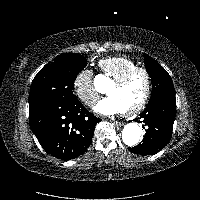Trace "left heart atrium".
Wrapping results in <instances>:
<instances>
[{"label": "left heart atrium", "mask_w": 200, "mask_h": 200, "mask_svg": "<svg viewBox=\"0 0 200 200\" xmlns=\"http://www.w3.org/2000/svg\"><path fill=\"white\" fill-rule=\"evenodd\" d=\"M94 111L101 115H115L122 113V109L113 96H108L100 100L95 106Z\"/></svg>", "instance_id": "obj_1"}]
</instances>
